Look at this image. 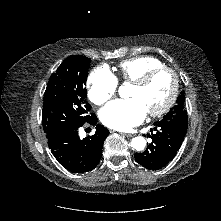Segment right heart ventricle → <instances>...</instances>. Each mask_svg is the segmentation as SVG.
<instances>
[{"label": "right heart ventricle", "mask_w": 221, "mask_h": 221, "mask_svg": "<svg viewBox=\"0 0 221 221\" xmlns=\"http://www.w3.org/2000/svg\"><path fill=\"white\" fill-rule=\"evenodd\" d=\"M163 66V63L152 56H138L126 59L118 65L120 78L127 82H134L147 71Z\"/></svg>", "instance_id": "e07e8e85"}]
</instances>
